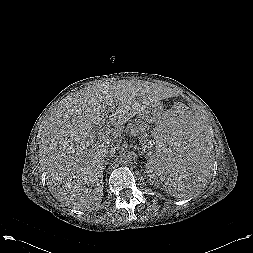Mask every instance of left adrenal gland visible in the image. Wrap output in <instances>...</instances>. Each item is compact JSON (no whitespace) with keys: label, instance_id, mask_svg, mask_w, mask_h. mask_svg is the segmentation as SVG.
<instances>
[{"label":"left adrenal gland","instance_id":"left-adrenal-gland-1","mask_svg":"<svg viewBox=\"0 0 253 253\" xmlns=\"http://www.w3.org/2000/svg\"><path fill=\"white\" fill-rule=\"evenodd\" d=\"M139 155H143V150L142 149H139Z\"/></svg>","mask_w":253,"mask_h":253}]
</instances>
